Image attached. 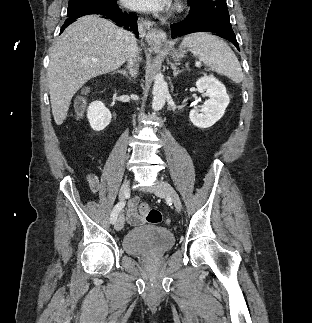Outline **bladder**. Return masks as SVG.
I'll return each mask as SVG.
<instances>
[{
    "mask_svg": "<svg viewBox=\"0 0 312 323\" xmlns=\"http://www.w3.org/2000/svg\"><path fill=\"white\" fill-rule=\"evenodd\" d=\"M172 234L158 227H140L125 235L124 251L133 256H143L150 252L167 251L173 246Z\"/></svg>",
    "mask_w": 312,
    "mask_h": 323,
    "instance_id": "1",
    "label": "bladder"
}]
</instances>
